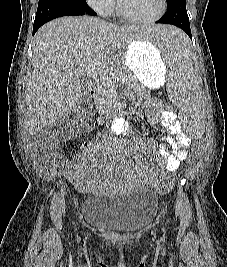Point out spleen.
<instances>
[{
  "mask_svg": "<svg viewBox=\"0 0 227 267\" xmlns=\"http://www.w3.org/2000/svg\"><path fill=\"white\" fill-rule=\"evenodd\" d=\"M131 30H144L135 33L136 41L151 43L155 47V55H163L169 63L168 93L172 101L178 105L176 115H203L202 96L198 80L192 67L190 42L183 29L165 22H143L142 25H131ZM198 105V106H196ZM184 129V137L201 140L205 137V124L202 116H180Z\"/></svg>",
  "mask_w": 227,
  "mask_h": 267,
  "instance_id": "1",
  "label": "spleen"
}]
</instances>
